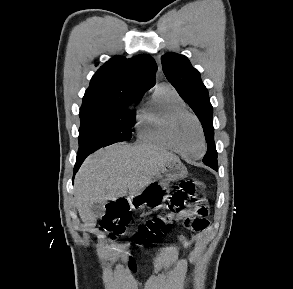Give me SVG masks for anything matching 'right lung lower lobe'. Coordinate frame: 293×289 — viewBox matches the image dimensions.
Masks as SVG:
<instances>
[{
    "instance_id": "98d812e1",
    "label": "right lung lower lobe",
    "mask_w": 293,
    "mask_h": 289,
    "mask_svg": "<svg viewBox=\"0 0 293 289\" xmlns=\"http://www.w3.org/2000/svg\"><path fill=\"white\" fill-rule=\"evenodd\" d=\"M90 153H78L77 155V161H76V165L74 168V174L76 173V171L78 170V168L80 167V165L82 164V162L84 161V159L89 155Z\"/></svg>"
}]
</instances>
